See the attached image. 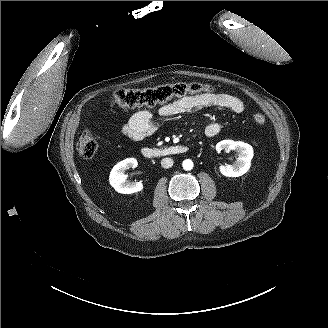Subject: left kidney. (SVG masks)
Instances as JSON below:
<instances>
[{"instance_id": "left-kidney-1", "label": "left kidney", "mask_w": 328, "mask_h": 328, "mask_svg": "<svg viewBox=\"0 0 328 328\" xmlns=\"http://www.w3.org/2000/svg\"><path fill=\"white\" fill-rule=\"evenodd\" d=\"M216 150L236 151L238 156L233 165H224L220 167L222 175L230 178H236L247 173L251 167V160L254 156L253 149L250 145L241 141L223 140L216 145Z\"/></svg>"}]
</instances>
